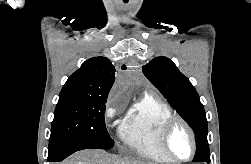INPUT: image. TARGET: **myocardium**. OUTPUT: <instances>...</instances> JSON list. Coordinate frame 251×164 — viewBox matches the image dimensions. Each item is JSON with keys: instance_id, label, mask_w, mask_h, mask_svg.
<instances>
[{"instance_id": "1", "label": "myocardium", "mask_w": 251, "mask_h": 164, "mask_svg": "<svg viewBox=\"0 0 251 164\" xmlns=\"http://www.w3.org/2000/svg\"><path fill=\"white\" fill-rule=\"evenodd\" d=\"M178 125H181L182 127H184L186 129V131L188 132L190 139H191V145H192V149H191V153L187 158H178L175 157L168 146V141H169V137L172 133V131L174 130V128ZM159 145L160 148L162 150V152L164 153V155L169 158L172 162H187L189 160H191L197 150V142H196V136L194 133V130L192 129V127L190 126V124L183 119L180 116L174 115L172 117H170L169 119H167L164 124L162 125L161 129H160V133H159Z\"/></svg>"}]
</instances>
